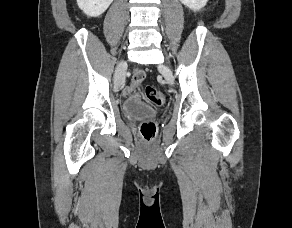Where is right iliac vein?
<instances>
[{"label": "right iliac vein", "instance_id": "right-iliac-vein-1", "mask_svg": "<svg viewBox=\"0 0 292 228\" xmlns=\"http://www.w3.org/2000/svg\"><path fill=\"white\" fill-rule=\"evenodd\" d=\"M125 68H126V62L125 61H121L119 63V65L116 68V72H115V87L119 88L122 83L124 82L125 79Z\"/></svg>", "mask_w": 292, "mask_h": 228}]
</instances>
